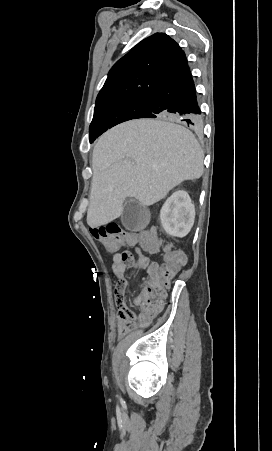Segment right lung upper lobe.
Segmentation results:
<instances>
[{
  "mask_svg": "<svg viewBox=\"0 0 272 451\" xmlns=\"http://www.w3.org/2000/svg\"><path fill=\"white\" fill-rule=\"evenodd\" d=\"M187 65L184 51L168 35L156 33L138 43L109 71L96 105L147 97Z\"/></svg>",
  "mask_w": 272,
  "mask_h": 451,
  "instance_id": "cb5924a9",
  "label": "right lung upper lobe"
}]
</instances>
